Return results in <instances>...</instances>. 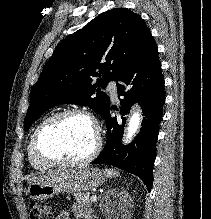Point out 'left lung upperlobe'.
<instances>
[{
  "label": "left lung upper lobe",
  "mask_w": 211,
  "mask_h": 219,
  "mask_svg": "<svg viewBox=\"0 0 211 219\" xmlns=\"http://www.w3.org/2000/svg\"><path fill=\"white\" fill-rule=\"evenodd\" d=\"M149 36L150 30L138 14L116 8L64 39L32 88L25 130L59 104L87 105L102 116L110 100L101 90L116 80ZM94 78H98L96 82Z\"/></svg>",
  "instance_id": "1"
}]
</instances>
